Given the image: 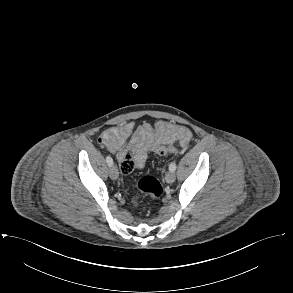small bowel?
<instances>
[{
	"mask_svg": "<svg viewBox=\"0 0 293 293\" xmlns=\"http://www.w3.org/2000/svg\"><path fill=\"white\" fill-rule=\"evenodd\" d=\"M191 139L192 133L187 127L168 121L159 120L153 126L143 123L138 127L129 121L105 130L98 143L114 155L121 172L129 174L145 165L156 145L177 141L186 147Z\"/></svg>",
	"mask_w": 293,
	"mask_h": 293,
	"instance_id": "obj_1",
	"label": "small bowel"
}]
</instances>
